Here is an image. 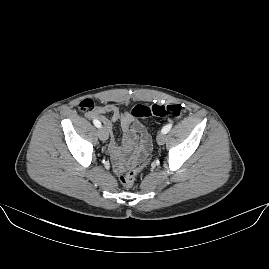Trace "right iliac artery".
<instances>
[{"label": "right iliac artery", "mask_w": 269, "mask_h": 269, "mask_svg": "<svg viewBox=\"0 0 269 269\" xmlns=\"http://www.w3.org/2000/svg\"><path fill=\"white\" fill-rule=\"evenodd\" d=\"M93 123L97 128L101 127V123L98 120L94 119Z\"/></svg>", "instance_id": "82829eb1"}]
</instances>
